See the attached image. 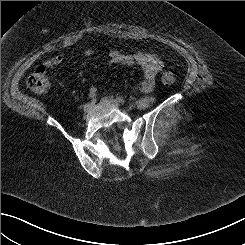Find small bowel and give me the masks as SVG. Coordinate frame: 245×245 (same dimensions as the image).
I'll list each match as a JSON object with an SVG mask.
<instances>
[{
  "instance_id": "1",
  "label": "small bowel",
  "mask_w": 245,
  "mask_h": 245,
  "mask_svg": "<svg viewBox=\"0 0 245 245\" xmlns=\"http://www.w3.org/2000/svg\"><path fill=\"white\" fill-rule=\"evenodd\" d=\"M90 55L91 52H86ZM65 56L58 54L44 62V66L49 69H54L60 66L64 61ZM108 62L110 64H120L125 66L138 65L143 70V78L132 87L135 92L149 93L154 89L157 75L163 69L162 61L152 54H147L141 51H136L131 54H123L119 51L113 50L109 52ZM97 89L95 86L90 87V97H95Z\"/></svg>"
}]
</instances>
